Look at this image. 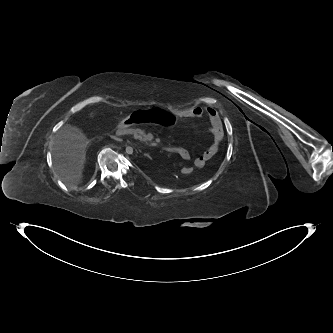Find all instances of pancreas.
Wrapping results in <instances>:
<instances>
[{"label": "pancreas", "mask_w": 333, "mask_h": 333, "mask_svg": "<svg viewBox=\"0 0 333 333\" xmlns=\"http://www.w3.org/2000/svg\"><path fill=\"white\" fill-rule=\"evenodd\" d=\"M125 133L132 134L135 139L143 142H147V135L141 129H126Z\"/></svg>", "instance_id": "cf45deb5"}]
</instances>
